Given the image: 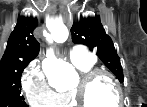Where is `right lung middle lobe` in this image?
Wrapping results in <instances>:
<instances>
[{
    "label": "right lung middle lobe",
    "mask_w": 147,
    "mask_h": 107,
    "mask_svg": "<svg viewBox=\"0 0 147 107\" xmlns=\"http://www.w3.org/2000/svg\"><path fill=\"white\" fill-rule=\"evenodd\" d=\"M25 67L0 76V107H28L20 96L21 75Z\"/></svg>",
    "instance_id": "1"
}]
</instances>
